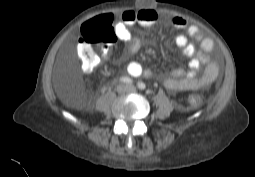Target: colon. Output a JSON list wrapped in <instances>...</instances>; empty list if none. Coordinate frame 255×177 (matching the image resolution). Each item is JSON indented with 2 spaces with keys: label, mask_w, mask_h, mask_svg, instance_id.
Returning <instances> with one entry per match:
<instances>
[{
  "label": "colon",
  "mask_w": 255,
  "mask_h": 177,
  "mask_svg": "<svg viewBox=\"0 0 255 177\" xmlns=\"http://www.w3.org/2000/svg\"><path fill=\"white\" fill-rule=\"evenodd\" d=\"M116 41V35L111 27V22L106 15L87 20L80 30V47L77 53L83 67L92 69L96 57L91 50L92 45H111ZM197 96L195 100L197 101Z\"/></svg>",
  "instance_id": "1"
}]
</instances>
